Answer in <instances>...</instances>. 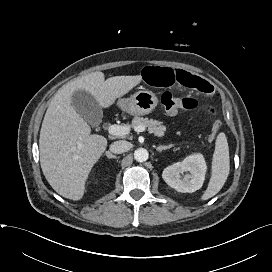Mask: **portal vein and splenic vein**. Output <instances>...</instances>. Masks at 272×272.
I'll return each mask as SVG.
<instances>
[{
    "label": "portal vein and splenic vein",
    "mask_w": 272,
    "mask_h": 272,
    "mask_svg": "<svg viewBox=\"0 0 272 272\" xmlns=\"http://www.w3.org/2000/svg\"><path fill=\"white\" fill-rule=\"evenodd\" d=\"M145 130H146L145 126H137L135 128V131H137V132H143ZM108 132H109V134L114 135V136H125L129 133V128L125 127V126L114 124V125H110L108 127Z\"/></svg>",
    "instance_id": "18ae733b"
}]
</instances>
